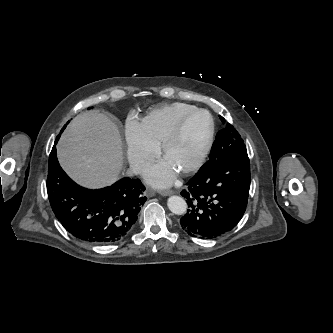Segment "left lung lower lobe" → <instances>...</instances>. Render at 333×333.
Segmentation results:
<instances>
[{"label":"left lung lower lobe","mask_w":333,"mask_h":333,"mask_svg":"<svg viewBox=\"0 0 333 333\" xmlns=\"http://www.w3.org/2000/svg\"><path fill=\"white\" fill-rule=\"evenodd\" d=\"M222 129L216 140L226 139ZM250 161L247 152L231 159H210L187 183L181 195L189 209L180 228L193 237L212 239L231 231L241 220L248 203Z\"/></svg>","instance_id":"obj_1"}]
</instances>
